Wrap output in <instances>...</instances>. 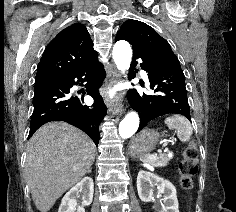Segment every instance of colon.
I'll return each mask as SVG.
<instances>
[{
	"instance_id": "5ec220e1",
	"label": "colon",
	"mask_w": 236,
	"mask_h": 212,
	"mask_svg": "<svg viewBox=\"0 0 236 212\" xmlns=\"http://www.w3.org/2000/svg\"><path fill=\"white\" fill-rule=\"evenodd\" d=\"M198 160V147L195 143H191L184 150L183 159L178 166L180 184L184 190L190 191L194 186V177L199 169Z\"/></svg>"
}]
</instances>
